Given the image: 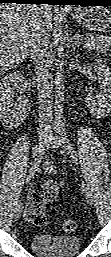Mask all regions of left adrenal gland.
Segmentation results:
<instances>
[{
    "instance_id": "left-adrenal-gland-1",
    "label": "left adrenal gland",
    "mask_w": 111,
    "mask_h": 257,
    "mask_svg": "<svg viewBox=\"0 0 111 257\" xmlns=\"http://www.w3.org/2000/svg\"><path fill=\"white\" fill-rule=\"evenodd\" d=\"M80 34L79 33H76L72 38L71 40L73 41L72 43V48L75 50L76 47H79L80 45H83V47L85 48L86 45L84 44V42L80 39Z\"/></svg>"
}]
</instances>
